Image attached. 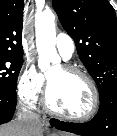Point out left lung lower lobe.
I'll list each match as a JSON object with an SVG mask.
<instances>
[{
    "label": "left lung lower lobe",
    "mask_w": 117,
    "mask_h": 136,
    "mask_svg": "<svg viewBox=\"0 0 117 136\" xmlns=\"http://www.w3.org/2000/svg\"><path fill=\"white\" fill-rule=\"evenodd\" d=\"M51 125L82 136H117V87L100 98L99 111L89 122L79 124L52 120Z\"/></svg>",
    "instance_id": "obj_1"
}]
</instances>
